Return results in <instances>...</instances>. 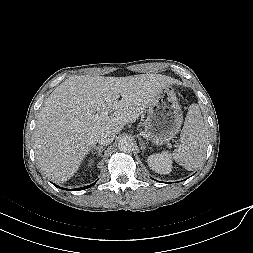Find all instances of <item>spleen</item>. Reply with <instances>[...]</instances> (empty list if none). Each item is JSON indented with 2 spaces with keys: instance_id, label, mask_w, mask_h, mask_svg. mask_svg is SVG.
Instances as JSON below:
<instances>
[{
  "instance_id": "spleen-1",
  "label": "spleen",
  "mask_w": 253,
  "mask_h": 253,
  "mask_svg": "<svg viewBox=\"0 0 253 253\" xmlns=\"http://www.w3.org/2000/svg\"><path fill=\"white\" fill-rule=\"evenodd\" d=\"M207 148L206 128L198 104L189 107L173 159L188 171L202 165Z\"/></svg>"
}]
</instances>
